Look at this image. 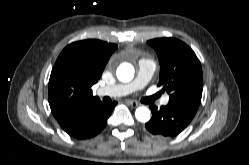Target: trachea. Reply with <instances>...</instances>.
<instances>
[{"instance_id":"1","label":"trachea","mask_w":249,"mask_h":165,"mask_svg":"<svg viewBox=\"0 0 249 165\" xmlns=\"http://www.w3.org/2000/svg\"><path fill=\"white\" fill-rule=\"evenodd\" d=\"M159 96H160V94H155V95H153L151 97L145 98V102L153 103Z\"/></svg>"}]
</instances>
